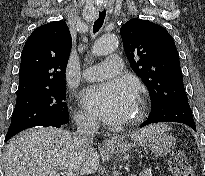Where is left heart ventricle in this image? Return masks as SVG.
Instances as JSON below:
<instances>
[{"label":"left heart ventricle","mask_w":205,"mask_h":176,"mask_svg":"<svg viewBox=\"0 0 205 176\" xmlns=\"http://www.w3.org/2000/svg\"><path fill=\"white\" fill-rule=\"evenodd\" d=\"M136 110H137V103L135 104V106H134L133 110L131 111L129 117H131L135 113Z\"/></svg>","instance_id":"left-heart-ventricle-1"}]
</instances>
